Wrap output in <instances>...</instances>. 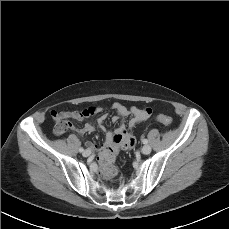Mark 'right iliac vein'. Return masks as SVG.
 <instances>
[{"instance_id":"63e3f726","label":"right iliac vein","mask_w":229,"mask_h":229,"mask_svg":"<svg viewBox=\"0 0 229 229\" xmlns=\"http://www.w3.org/2000/svg\"><path fill=\"white\" fill-rule=\"evenodd\" d=\"M91 155V151L90 150H85L84 152H83V156L84 157H88V156H90Z\"/></svg>"}]
</instances>
